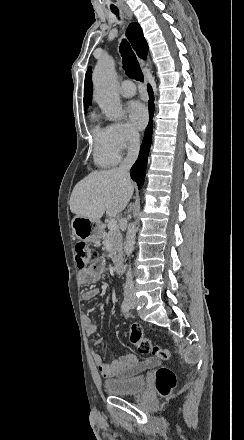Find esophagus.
I'll list each match as a JSON object with an SVG mask.
<instances>
[{"label":"esophagus","instance_id":"obj_1","mask_svg":"<svg viewBox=\"0 0 244 440\" xmlns=\"http://www.w3.org/2000/svg\"><path fill=\"white\" fill-rule=\"evenodd\" d=\"M123 8V11H124V13H125V15L128 17V18H133V14H132V12H131V10L129 9V7H122ZM140 65L143 67V68H145V61L144 60H142V59H140ZM145 82L146 83H148V76L145 74Z\"/></svg>","mask_w":244,"mask_h":440}]
</instances>
